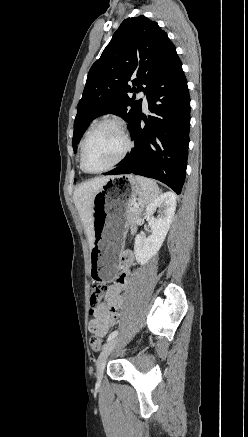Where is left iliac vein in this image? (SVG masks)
Masks as SVG:
<instances>
[{"label": "left iliac vein", "mask_w": 248, "mask_h": 437, "mask_svg": "<svg viewBox=\"0 0 248 437\" xmlns=\"http://www.w3.org/2000/svg\"><path fill=\"white\" fill-rule=\"evenodd\" d=\"M120 342V338L116 337L111 339L103 348L101 351L97 361H96V378L97 381L100 383L103 377V371L105 368L106 361L109 357V355L113 352V350L116 348L118 343Z\"/></svg>", "instance_id": "obj_1"}]
</instances>
